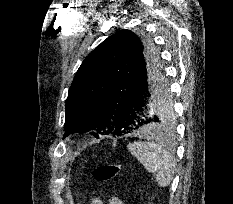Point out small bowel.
<instances>
[{
	"label": "small bowel",
	"instance_id": "1",
	"mask_svg": "<svg viewBox=\"0 0 233 204\" xmlns=\"http://www.w3.org/2000/svg\"><path fill=\"white\" fill-rule=\"evenodd\" d=\"M90 204H103V202L99 199H93ZM109 204H123V203L117 197H111L109 200Z\"/></svg>",
	"mask_w": 233,
	"mask_h": 204
}]
</instances>
